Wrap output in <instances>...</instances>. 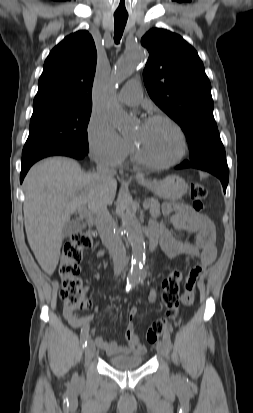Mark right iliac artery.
<instances>
[{"instance_id":"right-iliac-artery-1","label":"right iliac artery","mask_w":253,"mask_h":413,"mask_svg":"<svg viewBox=\"0 0 253 413\" xmlns=\"http://www.w3.org/2000/svg\"><path fill=\"white\" fill-rule=\"evenodd\" d=\"M88 336H89L88 331H85V332L81 333V347H82V349H85V347L87 346Z\"/></svg>"}]
</instances>
